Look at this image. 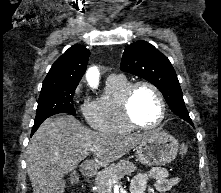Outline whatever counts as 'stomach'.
<instances>
[{"mask_svg":"<svg viewBox=\"0 0 221 193\" xmlns=\"http://www.w3.org/2000/svg\"><path fill=\"white\" fill-rule=\"evenodd\" d=\"M178 152V141L166 132L151 133L136 147L137 160L146 166H160L172 162Z\"/></svg>","mask_w":221,"mask_h":193,"instance_id":"stomach-1","label":"stomach"}]
</instances>
